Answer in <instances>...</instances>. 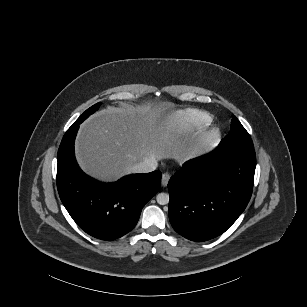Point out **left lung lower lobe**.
<instances>
[{
  "instance_id": "left-lung-lower-lobe-1",
  "label": "left lung lower lobe",
  "mask_w": 307,
  "mask_h": 307,
  "mask_svg": "<svg viewBox=\"0 0 307 307\" xmlns=\"http://www.w3.org/2000/svg\"><path fill=\"white\" fill-rule=\"evenodd\" d=\"M255 166L254 147L229 144L184 163L168 183L174 230L198 242L224 233L250 200Z\"/></svg>"
}]
</instances>
